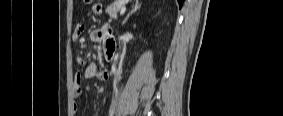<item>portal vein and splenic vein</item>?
Masks as SVG:
<instances>
[{
	"label": "portal vein and splenic vein",
	"instance_id": "obj_1",
	"mask_svg": "<svg viewBox=\"0 0 283 116\" xmlns=\"http://www.w3.org/2000/svg\"><path fill=\"white\" fill-rule=\"evenodd\" d=\"M126 11V6H123L121 9H120V15H123Z\"/></svg>",
	"mask_w": 283,
	"mask_h": 116
}]
</instances>
